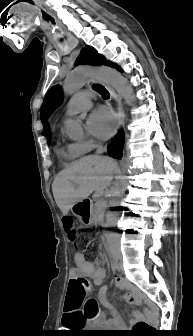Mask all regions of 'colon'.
I'll use <instances>...</instances> for the list:
<instances>
[{
    "label": "colon",
    "mask_w": 193,
    "mask_h": 336,
    "mask_svg": "<svg viewBox=\"0 0 193 336\" xmlns=\"http://www.w3.org/2000/svg\"><path fill=\"white\" fill-rule=\"evenodd\" d=\"M63 225H64V229L66 232V235L68 237V239L80 250L82 251H87L90 249V243L91 241L88 240L85 236H80L74 220L70 217H64L63 218ZM80 286L83 288V294L85 296L86 294V290L89 288L88 282L82 283L80 284ZM87 307L89 310L93 311V310H97V307L95 305L94 301H90L87 304ZM153 327L146 323V322H138L134 325L132 331H131V335L132 336H148L150 334V332L153 331Z\"/></svg>",
    "instance_id": "5ec220e1"
}]
</instances>
